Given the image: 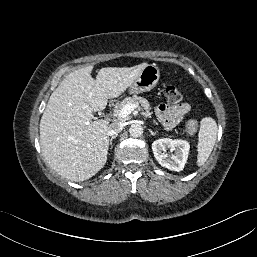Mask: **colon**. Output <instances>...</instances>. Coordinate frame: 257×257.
Here are the masks:
<instances>
[{"instance_id": "5ec220e1", "label": "colon", "mask_w": 257, "mask_h": 257, "mask_svg": "<svg viewBox=\"0 0 257 257\" xmlns=\"http://www.w3.org/2000/svg\"><path fill=\"white\" fill-rule=\"evenodd\" d=\"M165 95L169 102L178 103L183 99L182 91L174 85H168L165 89ZM187 127L189 129H194L196 127V122L193 120L188 121Z\"/></svg>"}]
</instances>
